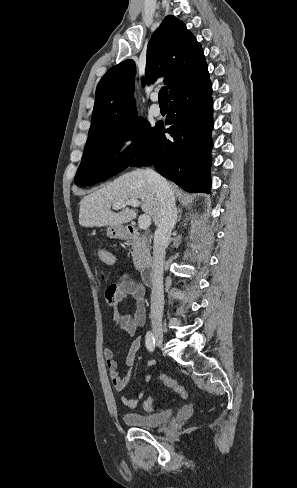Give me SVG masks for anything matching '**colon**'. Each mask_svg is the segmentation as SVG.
Returning <instances> with one entry per match:
<instances>
[{
  "label": "colon",
  "instance_id": "1",
  "mask_svg": "<svg viewBox=\"0 0 297 488\" xmlns=\"http://www.w3.org/2000/svg\"><path fill=\"white\" fill-rule=\"evenodd\" d=\"M97 256L100 260L107 257L106 254L104 253V250H98ZM115 293H116V284L113 282L109 283L107 288H106V291H105L106 298L109 302L113 303ZM158 380L159 381L163 380L165 385L167 387H169L170 389H172L174 392H176L180 397H182L184 399L187 398L188 393H187L186 388L183 385H181L180 383H178L177 381L173 380L171 375L165 374L164 372H161L160 376L158 377ZM143 406H144V409L146 411H148V412L153 411L152 398L148 397L144 401Z\"/></svg>",
  "mask_w": 297,
  "mask_h": 488
}]
</instances>
